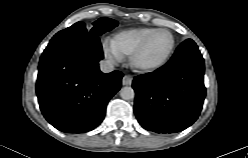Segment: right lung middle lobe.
I'll list each match as a JSON object with an SVG mask.
<instances>
[{
	"label": "right lung middle lobe",
	"mask_w": 248,
	"mask_h": 158,
	"mask_svg": "<svg viewBox=\"0 0 248 158\" xmlns=\"http://www.w3.org/2000/svg\"><path fill=\"white\" fill-rule=\"evenodd\" d=\"M118 25L116 20L102 17L93 23V27L90 30L86 29V26L83 22H77L74 25L60 31L57 35L63 34H90L95 36H100L103 33L112 30L114 27Z\"/></svg>",
	"instance_id": "1"
}]
</instances>
